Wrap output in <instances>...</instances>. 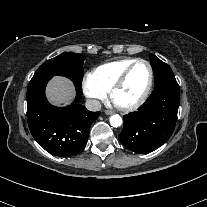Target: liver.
Masks as SVG:
<instances>
[{"label": "liver", "instance_id": "liver-1", "mask_svg": "<svg viewBox=\"0 0 207 207\" xmlns=\"http://www.w3.org/2000/svg\"><path fill=\"white\" fill-rule=\"evenodd\" d=\"M74 95L73 83L65 77H53L46 87V97L55 106H65L71 103Z\"/></svg>", "mask_w": 207, "mask_h": 207}]
</instances>
